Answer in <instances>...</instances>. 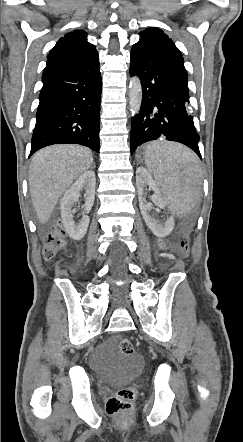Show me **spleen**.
Segmentation results:
<instances>
[{
	"mask_svg": "<svg viewBox=\"0 0 243 442\" xmlns=\"http://www.w3.org/2000/svg\"><path fill=\"white\" fill-rule=\"evenodd\" d=\"M145 169L149 170L155 183L169 201L166 214H194V202H197V184L199 162L194 153L176 143L155 141L147 145L145 151Z\"/></svg>",
	"mask_w": 243,
	"mask_h": 442,
	"instance_id": "obj_1",
	"label": "spleen"
}]
</instances>
